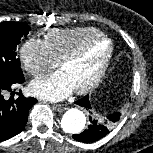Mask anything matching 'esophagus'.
Wrapping results in <instances>:
<instances>
[{"label":"esophagus","mask_w":153,"mask_h":153,"mask_svg":"<svg viewBox=\"0 0 153 153\" xmlns=\"http://www.w3.org/2000/svg\"><path fill=\"white\" fill-rule=\"evenodd\" d=\"M53 108L57 111H64L66 110L67 106L65 104H54Z\"/></svg>","instance_id":"esophagus-1"}]
</instances>
